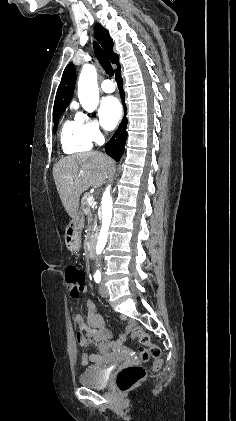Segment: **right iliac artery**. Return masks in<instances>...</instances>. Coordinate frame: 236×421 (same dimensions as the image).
Listing matches in <instances>:
<instances>
[{
  "label": "right iliac artery",
  "instance_id": "82829eb1",
  "mask_svg": "<svg viewBox=\"0 0 236 421\" xmlns=\"http://www.w3.org/2000/svg\"><path fill=\"white\" fill-rule=\"evenodd\" d=\"M94 280L96 283H100L101 281V273H95L94 274Z\"/></svg>",
  "mask_w": 236,
  "mask_h": 421
}]
</instances>
